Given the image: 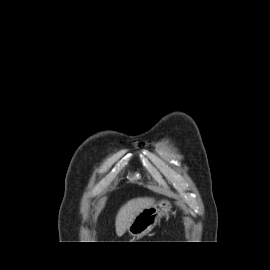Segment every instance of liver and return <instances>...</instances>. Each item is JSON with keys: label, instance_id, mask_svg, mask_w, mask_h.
Returning a JSON list of instances; mask_svg holds the SVG:
<instances>
[{"label": "liver", "instance_id": "1", "mask_svg": "<svg viewBox=\"0 0 270 270\" xmlns=\"http://www.w3.org/2000/svg\"><path fill=\"white\" fill-rule=\"evenodd\" d=\"M155 202L154 198L139 197L129 200L118 211L115 219V229L118 236L123 235L130 227L135 217L145 208Z\"/></svg>", "mask_w": 270, "mask_h": 270}]
</instances>
